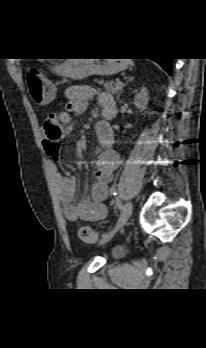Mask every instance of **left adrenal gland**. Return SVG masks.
Instances as JSON below:
<instances>
[{
    "label": "left adrenal gland",
    "mask_w": 206,
    "mask_h": 348,
    "mask_svg": "<svg viewBox=\"0 0 206 348\" xmlns=\"http://www.w3.org/2000/svg\"><path fill=\"white\" fill-rule=\"evenodd\" d=\"M133 79H134V77H128V78H127L125 84H123L122 87H120V91H119V94H118V96H117V99H119L120 94L122 93L124 87L128 84V82H130V81L133 80Z\"/></svg>",
    "instance_id": "1"
}]
</instances>
